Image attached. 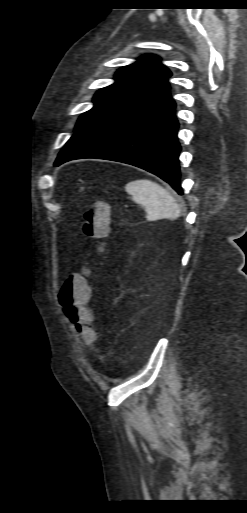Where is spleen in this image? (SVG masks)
<instances>
[{"label": "spleen", "instance_id": "spleen-1", "mask_svg": "<svg viewBox=\"0 0 247 513\" xmlns=\"http://www.w3.org/2000/svg\"><path fill=\"white\" fill-rule=\"evenodd\" d=\"M125 190L134 202L144 207L149 221L174 219L181 213L171 193L152 180H133L126 184Z\"/></svg>", "mask_w": 247, "mask_h": 513}]
</instances>
